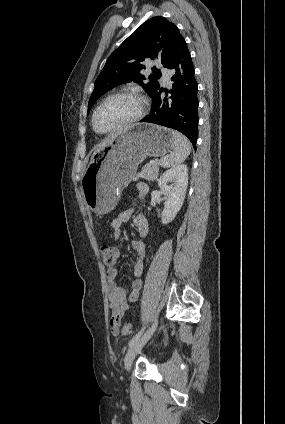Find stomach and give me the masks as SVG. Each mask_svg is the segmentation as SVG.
<instances>
[{
  "label": "stomach",
  "mask_w": 285,
  "mask_h": 424,
  "mask_svg": "<svg viewBox=\"0 0 285 424\" xmlns=\"http://www.w3.org/2000/svg\"><path fill=\"white\" fill-rule=\"evenodd\" d=\"M172 132L152 124H137L94 153L81 179L89 209L100 215L112 211L122 190L135 179L138 165L147 156H164L173 149Z\"/></svg>",
  "instance_id": "obj_1"
}]
</instances>
